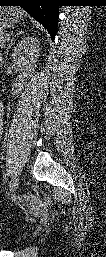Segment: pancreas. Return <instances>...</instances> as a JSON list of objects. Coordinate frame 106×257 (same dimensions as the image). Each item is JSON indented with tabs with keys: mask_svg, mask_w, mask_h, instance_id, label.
I'll use <instances>...</instances> for the list:
<instances>
[{
	"mask_svg": "<svg viewBox=\"0 0 106 257\" xmlns=\"http://www.w3.org/2000/svg\"><path fill=\"white\" fill-rule=\"evenodd\" d=\"M9 38L5 37L2 35V37L0 38V47L4 48V46L6 45V43H8Z\"/></svg>",
	"mask_w": 106,
	"mask_h": 257,
	"instance_id": "pancreas-1",
	"label": "pancreas"
}]
</instances>
